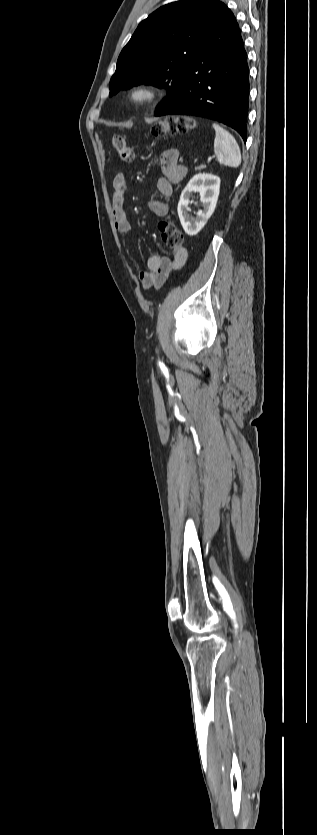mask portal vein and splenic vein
<instances>
[{"instance_id":"18ae733b","label":"portal vein and splenic vein","mask_w":317,"mask_h":835,"mask_svg":"<svg viewBox=\"0 0 317 835\" xmlns=\"http://www.w3.org/2000/svg\"><path fill=\"white\" fill-rule=\"evenodd\" d=\"M214 158H215L214 156H209V157L207 158V162H208V163H210V162H211Z\"/></svg>"}]
</instances>
